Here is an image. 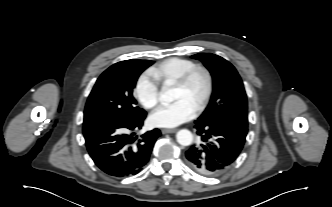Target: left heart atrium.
<instances>
[{"instance_id": "obj_1", "label": "left heart atrium", "mask_w": 332, "mask_h": 207, "mask_svg": "<svg viewBox=\"0 0 332 207\" xmlns=\"http://www.w3.org/2000/svg\"><path fill=\"white\" fill-rule=\"evenodd\" d=\"M196 114V108L184 99L163 105L150 116L152 125L161 128H174L189 120Z\"/></svg>"}]
</instances>
